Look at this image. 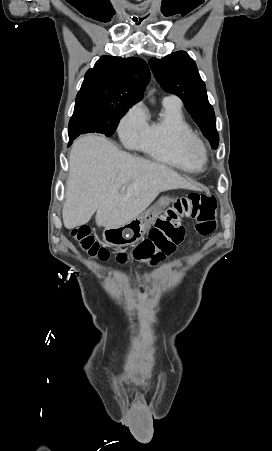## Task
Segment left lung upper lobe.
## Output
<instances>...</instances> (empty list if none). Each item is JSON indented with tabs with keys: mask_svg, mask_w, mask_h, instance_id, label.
<instances>
[{
	"mask_svg": "<svg viewBox=\"0 0 272 451\" xmlns=\"http://www.w3.org/2000/svg\"><path fill=\"white\" fill-rule=\"evenodd\" d=\"M149 65L161 87L182 99L212 148L216 149L219 135L216 130L215 114L195 61L186 52L178 51L162 59L151 58Z\"/></svg>",
	"mask_w": 272,
	"mask_h": 451,
	"instance_id": "left-lung-upper-lobe-1",
	"label": "left lung upper lobe"
}]
</instances>
